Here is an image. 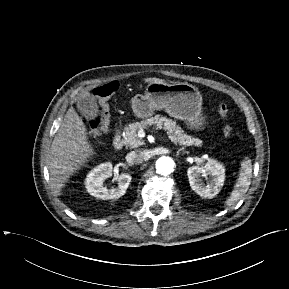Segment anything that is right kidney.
Returning a JSON list of instances; mask_svg holds the SVG:
<instances>
[{
    "instance_id": "right-kidney-1",
    "label": "right kidney",
    "mask_w": 289,
    "mask_h": 289,
    "mask_svg": "<svg viewBox=\"0 0 289 289\" xmlns=\"http://www.w3.org/2000/svg\"><path fill=\"white\" fill-rule=\"evenodd\" d=\"M113 167L111 163H102L93 168L85 179L88 193L94 197L109 200L118 199L126 193L131 182V176L122 173L117 176L118 186L108 189L103 185L104 181L112 176Z\"/></svg>"
}]
</instances>
